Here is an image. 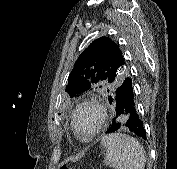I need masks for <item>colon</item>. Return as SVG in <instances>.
I'll list each match as a JSON object with an SVG mask.
<instances>
[{
  "mask_svg": "<svg viewBox=\"0 0 177 169\" xmlns=\"http://www.w3.org/2000/svg\"><path fill=\"white\" fill-rule=\"evenodd\" d=\"M61 169H72V168H69L67 166H63Z\"/></svg>",
  "mask_w": 177,
  "mask_h": 169,
  "instance_id": "colon-1",
  "label": "colon"
}]
</instances>
